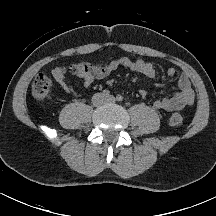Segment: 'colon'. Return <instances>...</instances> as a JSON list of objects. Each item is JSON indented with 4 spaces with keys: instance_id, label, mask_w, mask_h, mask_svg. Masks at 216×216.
Here are the masks:
<instances>
[{
    "instance_id": "5ec220e1",
    "label": "colon",
    "mask_w": 216,
    "mask_h": 216,
    "mask_svg": "<svg viewBox=\"0 0 216 216\" xmlns=\"http://www.w3.org/2000/svg\"><path fill=\"white\" fill-rule=\"evenodd\" d=\"M98 69L97 65L89 64V63H81L78 65H75L73 67V70L75 72H94ZM52 81L51 79L45 75V74H39L35 77L31 91L33 97L41 103H44L49 100L51 96V90H52ZM183 114L181 112H173L169 116V125L172 127H178L183 123Z\"/></svg>"
}]
</instances>
